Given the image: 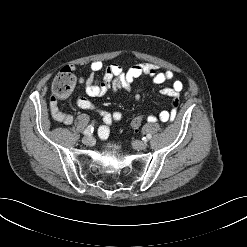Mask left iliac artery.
Segmentation results:
<instances>
[{
  "mask_svg": "<svg viewBox=\"0 0 247 247\" xmlns=\"http://www.w3.org/2000/svg\"><path fill=\"white\" fill-rule=\"evenodd\" d=\"M151 137H152L151 134H147V136L143 139H145L147 141V140L151 139Z\"/></svg>",
  "mask_w": 247,
  "mask_h": 247,
  "instance_id": "44dca946",
  "label": "left iliac artery"
}]
</instances>
